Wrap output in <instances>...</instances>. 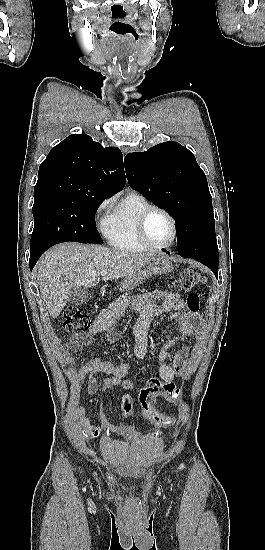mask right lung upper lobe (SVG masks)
<instances>
[{
  "label": "right lung upper lobe",
  "mask_w": 265,
  "mask_h": 550,
  "mask_svg": "<svg viewBox=\"0 0 265 550\" xmlns=\"http://www.w3.org/2000/svg\"><path fill=\"white\" fill-rule=\"evenodd\" d=\"M123 156L86 134H73L55 146L41 163L35 196L111 197L125 185Z\"/></svg>",
  "instance_id": "right-lung-upper-lobe-1"
}]
</instances>
